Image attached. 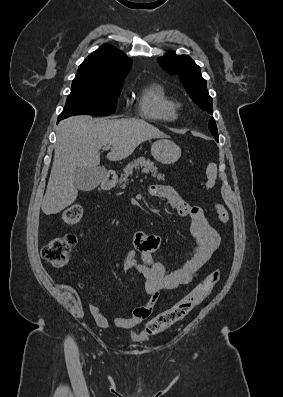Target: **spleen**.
<instances>
[{
  "mask_svg": "<svg viewBox=\"0 0 283 397\" xmlns=\"http://www.w3.org/2000/svg\"><path fill=\"white\" fill-rule=\"evenodd\" d=\"M206 175L208 178L207 186L213 187L217 178V165L215 163H210L207 166Z\"/></svg>",
  "mask_w": 283,
  "mask_h": 397,
  "instance_id": "spleen-1",
  "label": "spleen"
}]
</instances>
